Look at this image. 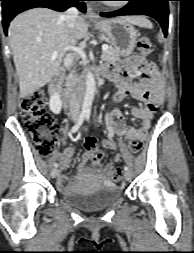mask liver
<instances>
[{"label":"liver","instance_id":"1","mask_svg":"<svg viewBox=\"0 0 194 253\" xmlns=\"http://www.w3.org/2000/svg\"><path fill=\"white\" fill-rule=\"evenodd\" d=\"M130 24L151 27L143 16L123 17ZM88 36V23L78 16L73 30L61 13L34 8L16 16L8 30L13 61L19 76L20 97L46 85L56 75L65 55L64 48ZM54 51L57 57L52 60Z\"/></svg>","mask_w":194,"mask_h":253}]
</instances>
